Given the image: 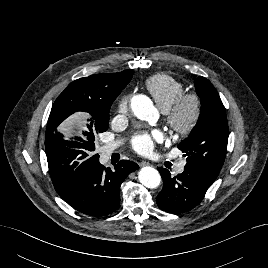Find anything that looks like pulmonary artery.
<instances>
[{
    "instance_id": "e3ab8cb5",
    "label": "pulmonary artery",
    "mask_w": 268,
    "mask_h": 268,
    "mask_svg": "<svg viewBox=\"0 0 268 268\" xmlns=\"http://www.w3.org/2000/svg\"><path fill=\"white\" fill-rule=\"evenodd\" d=\"M123 143H124V139L112 140L104 146L103 152L105 154H108V153L112 152L113 150H115L116 148H118L119 146H121ZM174 170L176 173H179V174L183 173L185 170V162H180V163L176 164L174 166Z\"/></svg>"
}]
</instances>
